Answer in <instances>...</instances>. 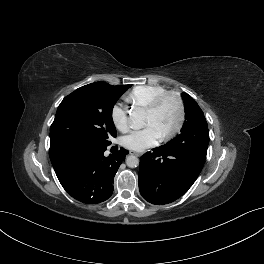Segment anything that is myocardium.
Segmentation results:
<instances>
[{"label":"myocardium","instance_id":"1","mask_svg":"<svg viewBox=\"0 0 264 264\" xmlns=\"http://www.w3.org/2000/svg\"><path fill=\"white\" fill-rule=\"evenodd\" d=\"M168 98H173L176 102L177 108H178V120L176 125L172 130L169 132L163 134L160 138L163 141L170 140L174 138L183 128L186 112H185V105L184 101L181 97V95L175 91H166L159 96H157L147 107L146 112L148 113H154L156 112L159 107L163 104L165 100Z\"/></svg>","mask_w":264,"mask_h":264}]
</instances>
